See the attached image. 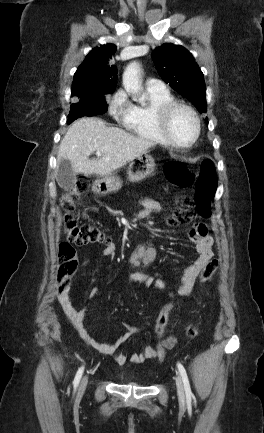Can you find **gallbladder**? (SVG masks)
Wrapping results in <instances>:
<instances>
[{"label": "gallbladder", "mask_w": 264, "mask_h": 433, "mask_svg": "<svg viewBox=\"0 0 264 433\" xmlns=\"http://www.w3.org/2000/svg\"><path fill=\"white\" fill-rule=\"evenodd\" d=\"M56 180L58 185L64 190H69L75 185L77 180L76 173L67 159H62L58 163Z\"/></svg>", "instance_id": "obj_1"}]
</instances>
